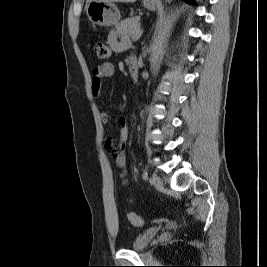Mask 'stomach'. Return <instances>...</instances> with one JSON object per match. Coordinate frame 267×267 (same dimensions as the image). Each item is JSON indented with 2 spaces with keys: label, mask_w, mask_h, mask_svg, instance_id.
<instances>
[{
  "label": "stomach",
  "mask_w": 267,
  "mask_h": 267,
  "mask_svg": "<svg viewBox=\"0 0 267 267\" xmlns=\"http://www.w3.org/2000/svg\"><path fill=\"white\" fill-rule=\"evenodd\" d=\"M144 6L149 10H155L157 0H144ZM88 19L101 27L117 25L120 20V11L115 4L104 0H92L86 6Z\"/></svg>",
  "instance_id": "0dacf381"
}]
</instances>
